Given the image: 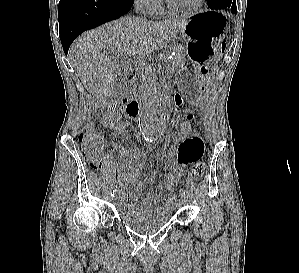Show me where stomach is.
<instances>
[{"label":"stomach","mask_w":299,"mask_h":273,"mask_svg":"<svg viewBox=\"0 0 299 273\" xmlns=\"http://www.w3.org/2000/svg\"><path fill=\"white\" fill-rule=\"evenodd\" d=\"M228 29L227 16L220 11H204L189 19L181 36L186 43L190 70L179 69L177 78L187 96L184 101L199 103L210 89L212 74H220L214 50Z\"/></svg>","instance_id":"obj_1"}]
</instances>
